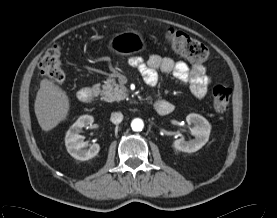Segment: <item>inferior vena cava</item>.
I'll list each match as a JSON object with an SVG mask.
<instances>
[{"label":"inferior vena cava","mask_w":277,"mask_h":218,"mask_svg":"<svg viewBox=\"0 0 277 218\" xmlns=\"http://www.w3.org/2000/svg\"><path fill=\"white\" fill-rule=\"evenodd\" d=\"M110 120L114 124H119L123 120V114L121 112H114L111 114Z\"/></svg>","instance_id":"obj_1"}]
</instances>
